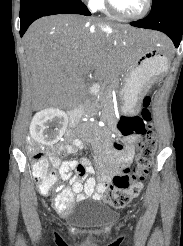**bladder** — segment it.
<instances>
[{
    "label": "bladder",
    "instance_id": "obj_1",
    "mask_svg": "<svg viewBox=\"0 0 183 246\" xmlns=\"http://www.w3.org/2000/svg\"><path fill=\"white\" fill-rule=\"evenodd\" d=\"M113 214V210L108 205L99 203L80 211L72 219L78 226L96 227L104 225L112 218Z\"/></svg>",
    "mask_w": 183,
    "mask_h": 246
}]
</instances>
